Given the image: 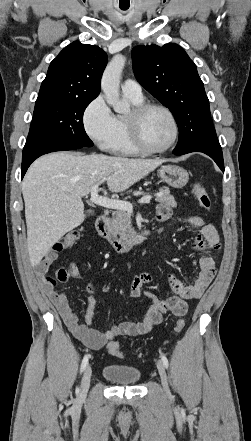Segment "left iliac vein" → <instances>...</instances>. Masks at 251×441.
Listing matches in <instances>:
<instances>
[{"label":"left iliac vein","instance_id":"left-iliac-vein-1","mask_svg":"<svg viewBox=\"0 0 251 441\" xmlns=\"http://www.w3.org/2000/svg\"><path fill=\"white\" fill-rule=\"evenodd\" d=\"M157 369L160 375V379H161V383L163 386L164 391L169 394V387H168V379H167V374H166V370L164 365L159 361L157 362Z\"/></svg>","mask_w":251,"mask_h":441}]
</instances>
